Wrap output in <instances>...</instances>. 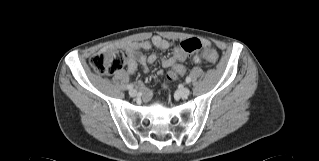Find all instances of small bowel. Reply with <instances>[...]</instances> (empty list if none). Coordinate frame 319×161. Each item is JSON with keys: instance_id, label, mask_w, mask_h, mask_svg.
<instances>
[{"instance_id": "1", "label": "small bowel", "mask_w": 319, "mask_h": 161, "mask_svg": "<svg viewBox=\"0 0 319 161\" xmlns=\"http://www.w3.org/2000/svg\"><path fill=\"white\" fill-rule=\"evenodd\" d=\"M203 45L208 47L210 46V43L207 40H204ZM151 46L161 50H167L173 46V42L155 35L147 41L124 42L116 45H108L102 49V52L123 51L127 55V72L129 74H133L139 64L143 67L144 72H146L147 65L153 64L156 61H160L163 67L174 70L177 78L184 74V66L180 62H176L174 56L171 58H162L157 54H151L146 57L139 53L140 50H148ZM192 60L194 63L199 64L201 62V57L199 55H194ZM137 86L141 89L143 102H148L151 98V91L146 88L141 81L137 82Z\"/></svg>"}]
</instances>
